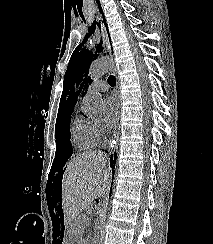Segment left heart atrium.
Segmentation results:
<instances>
[{"instance_id": "39dd6f15", "label": "left heart atrium", "mask_w": 213, "mask_h": 244, "mask_svg": "<svg viewBox=\"0 0 213 244\" xmlns=\"http://www.w3.org/2000/svg\"><path fill=\"white\" fill-rule=\"evenodd\" d=\"M104 124L107 128H112L116 123L118 113V101L115 97L109 96L103 102Z\"/></svg>"}]
</instances>
